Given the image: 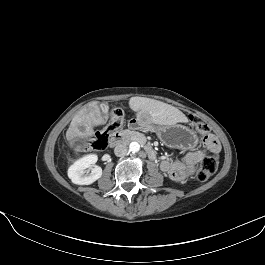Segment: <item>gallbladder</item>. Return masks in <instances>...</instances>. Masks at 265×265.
<instances>
[{"label": "gallbladder", "mask_w": 265, "mask_h": 265, "mask_svg": "<svg viewBox=\"0 0 265 265\" xmlns=\"http://www.w3.org/2000/svg\"><path fill=\"white\" fill-rule=\"evenodd\" d=\"M100 106L104 112H108L109 106L107 103H102Z\"/></svg>", "instance_id": "gallbladder-1"}]
</instances>
